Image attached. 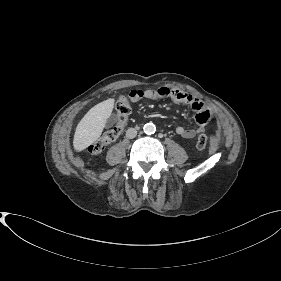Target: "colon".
I'll return each instance as SVG.
<instances>
[{
  "label": "colon",
  "mask_w": 281,
  "mask_h": 281,
  "mask_svg": "<svg viewBox=\"0 0 281 281\" xmlns=\"http://www.w3.org/2000/svg\"><path fill=\"white\" fill-rule=\"evenodd\" d=\"M116 112L117 124L115 125V127L107 131L98 141L89 146V152L92 155H99L107 145L115 142L122 133L131 113L129 100L126 97H121L117 101ZM208 143V137L206 135H200L197 138L196 145L198 149H204L207 147Z\"/></svg>",
  "instance_id": "colon-1"
}]
</instances>
